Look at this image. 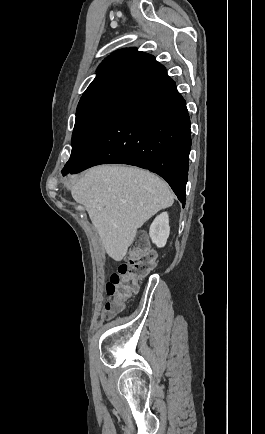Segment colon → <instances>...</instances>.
Listing matches in <instances>:
<instances>
[{
    "label": "colon",
    "mask_w": 265,
    "mask_h": 434,
    "mask_svg": "<svg viewBox=\"0 0 265 434\" xmlns=\"http://www.w3.org/2000/svg\"><path fill=\"white\" fill-rule=\"evenodd\" d=\"M156 262V253L146 245L145 235L137 234L126 260L108 280L107 291L111 299L105 306L109 315L121 311L125 300L137 292L141 279L152 272Z\"/></svg>",
    "instance_id": "1"
}]
</instances>
